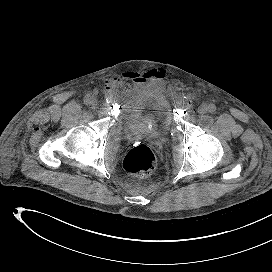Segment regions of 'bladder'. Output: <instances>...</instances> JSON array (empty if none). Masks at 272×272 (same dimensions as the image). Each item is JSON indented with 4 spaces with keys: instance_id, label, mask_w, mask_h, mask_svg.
<instances>
[{
    "instance_id": "bladder-1",
    "label": "bladder",
    "mask_w": 272,
    "mask_h": 272,
    "mask_svg": "<svg viewBox=\"0 0 272 272\" xmlns=\"http://www.w3.org/2000/svg\"><path fill=\"white\" fill-rule=\"evenodd\" d=\"M124 134L130 139H162L172 125L169 110L151 103L126 104L120 117Z\"/></svg>"
}]
</instances>
